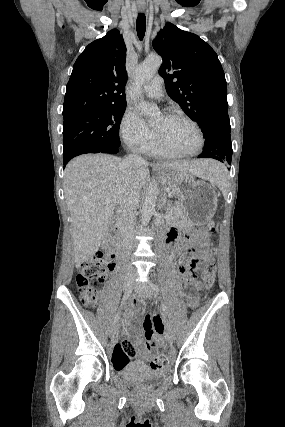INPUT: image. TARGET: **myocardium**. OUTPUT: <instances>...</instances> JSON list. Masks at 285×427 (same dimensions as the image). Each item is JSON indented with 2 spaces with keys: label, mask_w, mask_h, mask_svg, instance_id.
Listing matches in <instances>:
<instances>
[{
  "label": "myocardium",
  "mask_w": 285,
  "mask_h": 427,
  "mask_svg": "<svg viewBox=\"0 0 285 427\" xmlns=\"http://www.w3.org/2000/svg\"><path fill=\"white\" fill-rule=\"evenodd\" d=\"M165 116L175 118V119H181V120H184V121L188 122L189 124H191L193 126V128L195 129L197 135H198L199 143H198V146L195 150L190 151V152H184V151L176 149L174 146L167 143L159 135V133L154 129L155 134H156L157 143L166 151L173 153L175 155H178V156L189 157V156H194V155L198 154L202 150V148L204 147V144H205L204 134H203V131H202L200 125L194 119L190 118L189 116H187L185 114L179 113V112H168L165 114Z\"/></svg>",
  "instance_id": "obj_1"
}]
</instances>
